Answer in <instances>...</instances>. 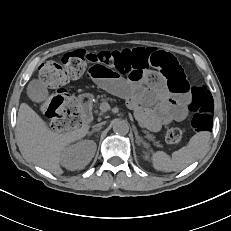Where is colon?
Instances as JSON below:
<instances>
[{
  "instance_id": "colon-1",
  "label": "colon",
  "mask_w": 231,
  "mask_h": 231,
  "mask_svg": "<svg viewBox=\"0 0 231 231\" xmlns=\"http://www.w3.org/2000/svg\"><path fill=\"white\" fill-rule=\"evenodd\" d=\"M184 60L154 48H133L114 51L88 52L77 49L62 57V64L47 61L41 65L39 75L48 87L58 88L42 106L49 119L51 129L62 131L81 123L78 107L66 93L64 86L70 79L83 75L89 65L112 68L120 74L138 77L155 70L165 78L169 91L188 97L187 107L192 113V126L196 131H206L212 126L213 99L210 91L200 85H190L183 65ZM185 129L181 126L170 128L165 140L170 145L181 142Z\"/></svg>"
}]
</instances>
